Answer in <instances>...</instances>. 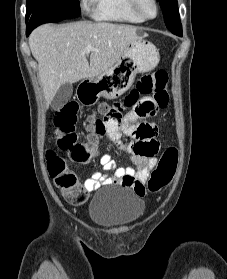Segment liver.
<instances>
[{"instance_id": "1", "label": "liver", "mask_w": 227, "mask_h": 279, "mask_svg": "<svg viewBox=\"0 0 227 279\" xmlns=\"http://www.w3.org/2000/svg\"><path fill=\"white\" fill-rule=\"evenodd\" d=\"M138 37L136 27L108 22L44 24L36 28L29 46L38 61L46 107L61 85L102 74ZM88 45L93 47L89 62L85 52Z\"/></svg>"}]
</instances>
